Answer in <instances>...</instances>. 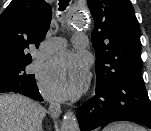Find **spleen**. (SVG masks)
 Wrapping results in <instances>:
<instances>
[{"label":"spleen","mask_w":151,"mask_h":131,"mask_svg":"<svg viewBox=\"0 0 151 131\" xmlns=\"http://www.w3.org/2000/svg\"><path fill=\"white\" fill-rule=\"evenodd\" d=\"M103 131H144V129L130 123H113L106 126Z\"/></svg>","instance_id":"1"}]
</instances>
